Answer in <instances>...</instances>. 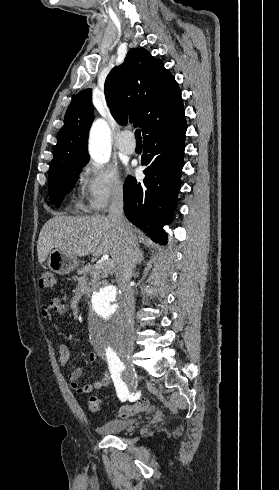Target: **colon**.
Segmentation results:
<instances>
[{
    "mask_svg": "<svg viewBox=\"0 0 279 490\" xmlns=\"http://www.w3.org/2000/svg\"><path fill=\"white\" fill-rule=\"evenodd\" d=\"M40 285L43 288L53 289L56 286V275L50 270H46L40 277ZM150 405L148 398H142L132 404L119 406L116 413L119 417H129L145 411ZM88 410L92 413H100L102 410V399L99 396H92L87 403Z\"/></svg>",
    "mask_w": 279,
    "mask_h": 490,
    "instance_id": "colon-1",
    "label": "colon"
}]
</instances>
